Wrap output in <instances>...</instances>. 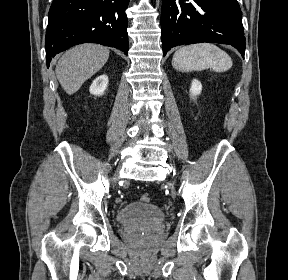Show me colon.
Wrapping results in <instances>:
<instances>
[{"instance_id": "1", "label": "colon", "mask_w": 288, "mask_h": 280, "mask_svg": "<svg viewBox=\"0 0 288 280\" xmlns=\"http://www.w3.org/2000/svg\"><path fill=\"white\" fill-rule=\"evenodd\" d=\"M141 201L144 202V203H149V202L151 201V196H150V194L144 193V194L141 196Z\"/></svg>"}]
</instances>
